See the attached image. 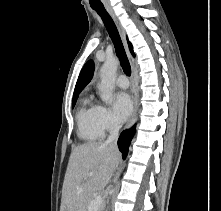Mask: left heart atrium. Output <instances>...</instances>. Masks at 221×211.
I'll return each instance as SVG.
<instances>
[{"label":"left heart atrium","mask_w":221,"mask_h":211,"mask_svg":"<svg viewBox=\"0 0 221 211\" xmlns=\"http://www.w3.org/2000/svg\"><path fill=\"white\" fill-rule=\"evenodd\" d=\"M113 109L120 121L126 120L133 110L130 96L125 92H119L114 96Z\"/></svg>","instance_id":"obj_1"}]
</instances>
